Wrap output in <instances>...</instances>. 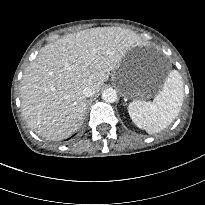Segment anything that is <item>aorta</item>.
I'll return each mask as SVG.
<instances>
[{"label":"aorta","instance_id":"obj_1","mask_svg":"<svg viewBox=\"0 0 205 205\" xmlns=\"http://www.w3.org/2000/svg\"><path fill=\"white\" fill-rule=\"evenodd\" d=\"M102 99L107 103H113L117 100V92L113 88H107L102 92Z\"/></svg>","mask_w":205,"mask_h":205}]
</instances>
